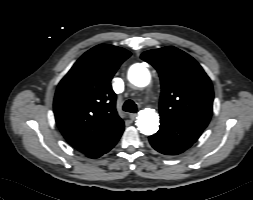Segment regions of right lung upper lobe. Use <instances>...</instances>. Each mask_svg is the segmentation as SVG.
<instances>
[{
	"label": "right lung upper lobe",
	"instance_id": "obj_1",
	"mask_svg": "<svg viewBox=\"0 0 253 200\" xmlns=\"http://www.w3.org/2000/svg\"><path fill=\"white\" fill-rule=\"evenodd\" d=\"M131 53L101 44L84 53L60 81L54 98L56 123L82 153L103 147L124 130L110 81Z\"/></svg>",
	"mask_w": 253,
	"mask_h": 200
}]
</instances>
